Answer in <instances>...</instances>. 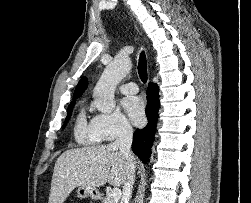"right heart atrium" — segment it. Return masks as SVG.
<instances>
[{"instance_id": "obj_1", "label": "right heart atrium", "mask_w": 251, "mask_h": 203, "mask_svg": "<svg viewBox=\"0 0 251 203\" xmlns=\"http://www.w3.org/2000/svg\"><path fill=\"white\" fill-rule=\"evenodd\" d=\"M91 126L105 142H111L132 133L131 124L120 112L96 114L91 120Z\"/></svg>"}]
</instances>
